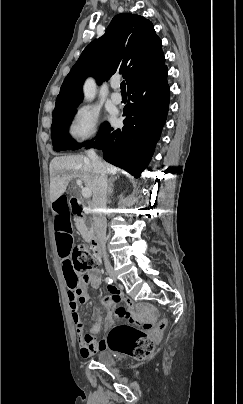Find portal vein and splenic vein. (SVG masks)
<instances>
[{
    "mask_svg": "<svg viewBox=\"0 0 243 404\" xmlns=\"http://www.w3.org/2000/svg\"><path fill=\"white\" fill-rule=\"evenodd\" d=\"M76 184H78V186H82L81 180H77ZM81 194L83 198H90V196H92L90 188H82Z\"/></svg>",
    "mask_w": 243,
    "mask_h": 404,
    "instance_id": "portal-vein-and-splenic-vein-1",
    "label": "portal vein and splenic vein"
}]
</instances>
